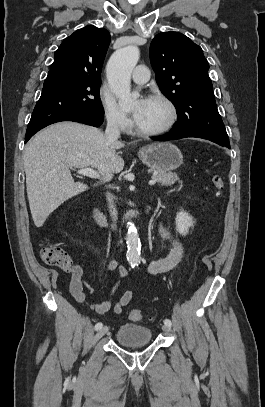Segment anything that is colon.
Returning <instances> with one entry per match:
<instances>
[{
  "label": "colon",
  "instance_id": "5ec220e1",
  "mask_svg": "<svg viewBox=\"0 0 265 407\" xmlns=\"http://www.w3.org/2000/svg\"><path fill=\"white\" fill-rule=\"evenodd\" d=\"M210 178L215 188V196L221 198L224 188L222 177L217 173H211ZM40 256L43 262L49 266L57 267L62 270H70L73 267L70 256L62 248L54 244H45L41 248ZM128 316L132 321H144L147 319L139 309H131Z\"/></svg>",
  "mask_w": 265,
  "mask_h": 407
}]
</instances>
